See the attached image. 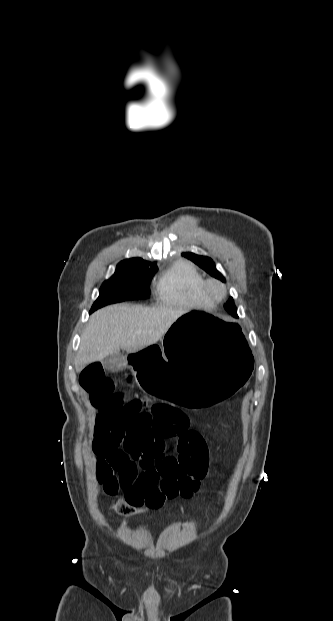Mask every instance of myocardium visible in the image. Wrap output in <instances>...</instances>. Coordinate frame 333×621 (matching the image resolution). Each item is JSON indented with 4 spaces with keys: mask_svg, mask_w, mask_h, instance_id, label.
I'll list each match as a JSON object with an SVG mask.
<instances>
[{
    "mask_svg": "<svg viewBox=\"0 0 333 621\" xmlns=\"http://www.w3.org/2000/svg\"><path fill=\"white\" fill-rule=\"evenodd\" d=\"M204 291L212 303H217L226 297L227 286L219 279H208L205 281Z\"/></svg>",
    "mask_w": 333,
    "mask_h": 621,
    "instance_id": "1",
    "label": "myocardium"
}]
</instances>
